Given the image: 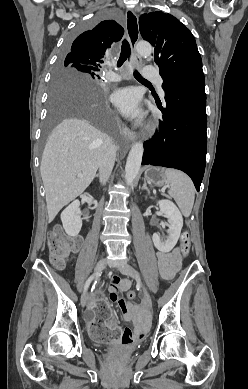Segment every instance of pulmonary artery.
I'll use <instances>...</instances> for the list:
<instances>
[{"instance_id":"1","label":"pulmonary artery","mask_w":248,"mask_h":389,"mask_svg":"<svg viewBox=\"0 0 248 389\" xmlns=\"http://www.w3.org/2000/svg\"><path fill=\"white\" fill-rule=\"evenodd\" d=\"M144 76L148 81H153L159 86V91L162 96H164V91L162 89L163 80L160 75L154 74L151 71L149 66L144 67ZM105 79L108 81H120L121 77L114 72H106L104 75Z\"/></svg>"}]
</instances>
